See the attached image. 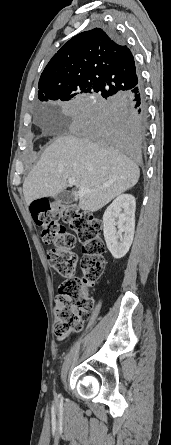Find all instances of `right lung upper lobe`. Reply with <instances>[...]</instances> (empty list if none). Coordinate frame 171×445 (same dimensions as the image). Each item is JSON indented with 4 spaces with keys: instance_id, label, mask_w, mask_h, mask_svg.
Instances as JSON below:
<instances>
[{
    "instance_id": "cb5924a9",
    "label": "right lung upper lobe",
    "mask_w": 171,
    "mask_h": 445,
    "mask_svg": "<svg viewBox=\"0 0 171 445\" xmlns=\"http://www.w3.org/2000/svg\"><path fill=\"white\" fill-rule=\"evenodd\" d=\"M140 85L129 48L109 30L95 28L70 39L52 57L39 80L41 101L80 93L124 95Z\"/></svg>"
}]
</instances>
